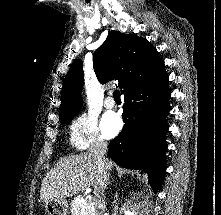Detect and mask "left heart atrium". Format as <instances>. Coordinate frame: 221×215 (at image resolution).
<instances>
[{"label": "left heart atrium", "instance_id": "1", "mask_svg": "<svg viewBox=\"0 0 221 215\" xmlns=\"http://www.w3.org/2000/svg\"><path fill=\"white\" fill-rule=\"evenodd\" d=\"M103 133L108 136H114L122 127V121L119 116L114 113L106 114L101 122Z\"/></svg>", "mask_w": 221, "mask_h": 215}]
</instances>
